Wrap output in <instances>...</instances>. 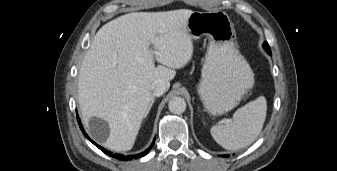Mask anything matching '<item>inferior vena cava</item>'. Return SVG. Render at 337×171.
Instances as JSON below:
<instances>
[{"instance_id": "inferior-vena-cava-1", "label": "inferior vena cava", "mask_w": 337, "mask_h": 171, "mask_svg": "<svg viewBox=\"0 0 337 171\" xmlns=\"http://www.w3.org/2000/svg\"><path fill=\"white\" fill-rule=\"evenodd\" d=\"M167 88V84L161 80L154 81L150 87L152 95L156 97L163 95L166 92Z\"/></svg>"}]
</instances>
